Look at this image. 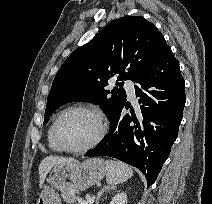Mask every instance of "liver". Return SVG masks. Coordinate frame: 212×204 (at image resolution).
Listing matches in <instances>:
<instances>
[{
	"instance_id": "6515ba94",
	"label": "liver",
	"mask_w": 212,
	"mask_h": 204,
	"mask_svg": "<svg viewBox=\"0 0 212 204\" xmlns=\"http://www.w3.org/2000/svg\"><path fill=\"white\" fill-rule=\"evenodd\" d=\"M74 161L71 158H65V157H58V156H47L45 157L40 165H39V186L42 187L47 173L50 171V169L58 164H64Z\"/></svg>"
}]
</instances>
